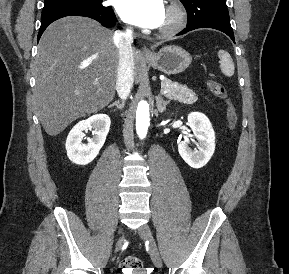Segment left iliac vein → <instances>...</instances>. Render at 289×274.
I'll use <instances>...</instances> for the list:
<instances>
[{
  "instance_id": "left-iliac-vein-1",
  "label": "left iliac vein",
  "mask_w": 289,
  "mask_h": 274,
  "mask_svg": "<svg viewBox=\"0 0 289 274\" xmlns=\"http://www.w3.org/2000/svg\"><path fill=\"white\" fill-rule=\"evenodd\" d=\"M138 233L142 239L149 243L150 256L154 265L156 267H161L162 259L150 227L147 224H144L139 228Z\"/></svg>"
}]
</instances>
